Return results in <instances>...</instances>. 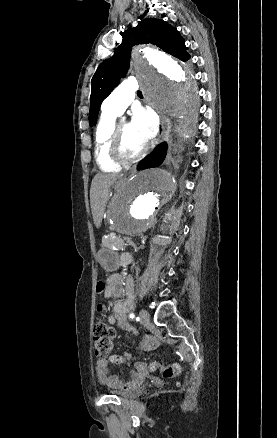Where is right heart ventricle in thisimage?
Returning a JSON list of instances; mask_svg holds the SVG:
<instances>
[{"label":"right heart ventricle","mask_w":277,"mask_h":438,"mask_svg":"<svg viewBox=\"0 0 277 438\" xmlns=\"http://www.w3.org/2000/svg\"><path fill=\"white\" fill-rule=\"evenodd\" d=\"M115 118L102 114L96 129L95 155L97 163L102 171L117 173L121 165L111 159L109 153L110 134L115 126Z\"/></svg>","instance_id":"e07e8e85"}]
</instances>
